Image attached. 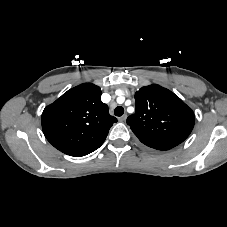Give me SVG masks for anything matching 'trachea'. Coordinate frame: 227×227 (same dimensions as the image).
Wrapping results in <instances>:
<instances>
[{"label": "trachea", "mask_w": 227, "mask_h": 227, "mask_svg": "<svg viewBox=\"0 0 227 227\" xmlns=\"http://www.w3.org/2000/svg\"><path fill=\"white\" fill-rule=\"evenodd\" d=\"M124 113V108L122 106H118L114 110V114L118 117L122 116Z\"/></svg>", "instance_id": "obj_1"}]
</instances>
